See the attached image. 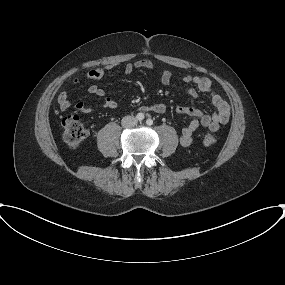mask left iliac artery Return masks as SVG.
I'll list each match as a JSON object with an SVG mask.
<instances>
[{"label":"left iliac artery","mask_w":285,"mask_h":285,"mask_svg":"<svg viewBox=\"0 0 285 285\" xmlns=\"http://www.w3.org/2000/svg\"><path fill=\"white\" fill-rule=\"evenodd\" d=\"M146 124L151 126L153 124V120L152 119H147L146 120Z\"/></svg>","instance_id":"obj_1"}]
</instances>
